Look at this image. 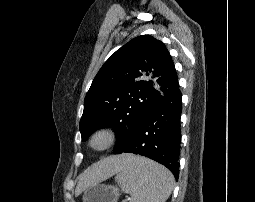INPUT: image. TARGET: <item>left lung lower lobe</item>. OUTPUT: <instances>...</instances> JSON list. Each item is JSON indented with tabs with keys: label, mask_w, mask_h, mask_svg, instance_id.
Masks as SVG:
<instances>
[{
	"label": "left lung lower lobe",
	"mask_w": 255,
	"mask_h": 202,
	"mask_svg": "<svg viewBox=\"0 0 255 202\" xmlns=\"http://www.w3.org/2000/svg\"><path fill=\"white\" fill-rule=\"evenodd\" d=\"M181 92L165 96L144 118L123 152L139 154L166 166L179 177Z\"/></svg>",
	"instance_id": "left-lung-lower-lobe-1"
}]
</instances>
